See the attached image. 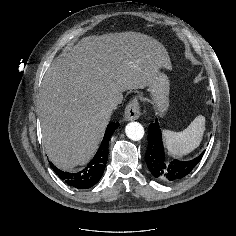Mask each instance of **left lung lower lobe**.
Returning <instances> with one entry per match:
<instances>
[{
	"instance_id": "0a47b994",
	"label": "left lung lower lobe",
	"mask_w": 236,
	"mask_h": 236,
	"mask_svg": "<svg viewBox=\"0 0 236 236\" xmlns=\"http://www.w3.org/2000/svg\"><path fill=\"white\" fill-rule=\"evenodd\" d=\"M190 161H170L166 158L162 144V135L158 121L149 125L148 148L145 154L147 166L152 175L163 182H174L189 174L204 155Z\"/></svg>"
}]
</instances>
